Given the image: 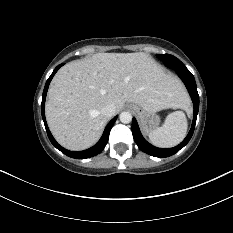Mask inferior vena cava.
I'll list each match as a JSON object with an SVG mask.
<instances>
[{
	"label": "inferior vena cava",
	"mask_w": 233,
	"mask_h": 233,
	"mask_svg": "<svg viewBox=\"0 0 233 233\" xmlns=\"http://www.w3.org/2000/svg\"><path fill=\"white\" fill-rule=\"evenodd\" d=\"M101 113L106 117H111L115 114V106L113 104H108L102 108Z\"/></svg>",
	"instance_id": "602c4592"
}]
</instances>
